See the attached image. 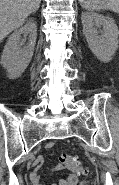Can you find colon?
<instances>
[{"instance_id":"obj_1","label":"colon","mask_w":119,"mask_h":185,"mask_svg":"<svg viewBox=\"0 0 119 185\" xmlns=\"http://www.w3.org/2000/svg\"><path fill=\"white\" fill-rule=\"evenodd\" d=\"M60 162L66 168L77 174H85L86 169L82 167L80 162L73 156L68 154H62L60 156Z\"/></svg>"}]
</instances>
